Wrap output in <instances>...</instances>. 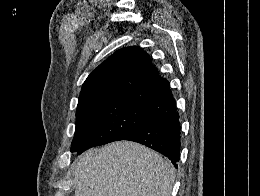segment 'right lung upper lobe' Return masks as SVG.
<instances>
[{"instance_id":"cb5924a9","label":"right lung upper lobe","mask_w":260,"mask_h":196,"mask_svg":"<svg viewBox=\"0 0 260 196\" xmlns=\"http://www.w3.org/2000/svg\"><path fill=\"white\" fill-rule=\"evenodd\" d=\"M169 90V82L160 77L149 55L132 46L115 52L87 77L78 106L103 102L143 106Z\"/></svg>"}]
</instances>
